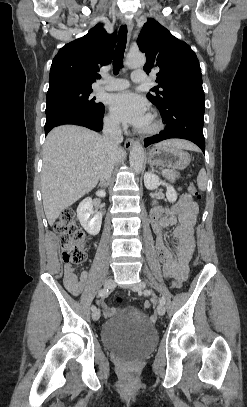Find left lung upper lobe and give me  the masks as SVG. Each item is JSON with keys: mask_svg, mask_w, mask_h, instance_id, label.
<instances>
[{"mask_svg": "<svg viewBox=\"0 0 247 407\" xmlns=\"http://www.w3.org/2000/svg\"><path fill=\"white\" fill-rule=\"evenodd\" d=\"M137 44L146 53V73L157 71L156 82L147 98L165 113L172 104L203 103L204 91L199 61L189 45L174 37L153 18L144 24Z\"/></svg>", "mask_w": 247, "mask_h": 407, "instance_id": "1", "label": "left lung upper lobe"}]
</instances>
